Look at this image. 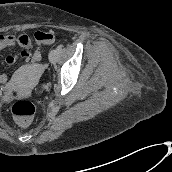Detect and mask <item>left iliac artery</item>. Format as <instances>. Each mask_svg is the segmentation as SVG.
I'll return each mask as SVG.
<instances>
[{
	"mask_svg": "<svg viewBox=\"0 0 172 172\" xmlns=\"http://www.w3.org/2000/svg\"><path fill=\"white\" fill-rule=\"evenodd\" d=\"M57 52H60L62 50V45H59L57 48H56Z\"/></svg>",
	"mask_w": 172,
	"mask_h": 172,
	"instance_id": "44dca946",
	"label": "left iliac artery"
}]
</instances>
